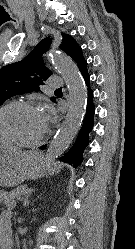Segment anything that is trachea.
Wrapping results in <instances>:
<instances>
[{
	"instance_id": "1",
	"label": "trachea",
	"mask_w": 135,
	"mask_h": 249,
	"mask_svg": "<svg viewBox=\"0 0 135 249\" xmlns=\"http://www.w3.org/2000/svg\"><path fill=\"white\" fill-rule=\"evenodd\" d=\"M56 91H62V89H61V88H59V89H56Z\"/></svg>"
}]
</instances>
